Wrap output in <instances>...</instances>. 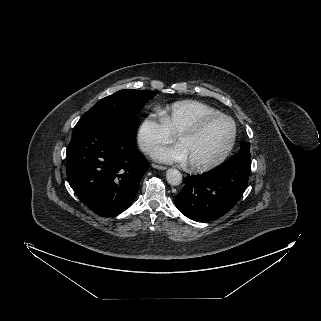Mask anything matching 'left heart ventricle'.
<instances>
[{
  "label": "left heart ventricle",
  "mask_w": 321,
  "mask_h": 321,
  "mask_svg": "<svg viewBox=\"0 0 321 321\" xmlns=\"http://www.w3.org/2000/svg\"><path fill=\"white\" fill-rule=\"evenodd\" d=\"M231 124L224 119L207 123L199 132L178 137L188 153L189 162L207 163L216 159L231 137Z\"/></svg>",
  "instance_id": "left-heart-ventricle-1"
}]
</instances>
